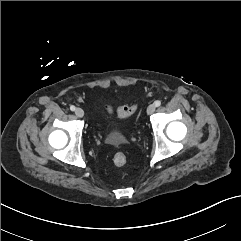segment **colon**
Masks as SVG:
<instances>
[{
	"instance_id": "colon-1",
	"label": "colon",
	"mask_w": 241,
	"mask_h": 241,
	"mask_svg": "<svg viewBox=\"0 0 241 241\" xmlns=\"http://www.w3.org/2000/svg\"><path fill=\"white\" fill-rule=\"evenodd\" d=\"M136 110V106H122L118 108L117 114L120 118L130 117ZM113 162L116 166L122 167L127 163V157L124 153L118 152L114 155Z\"/></svg>"
}]
</instances>
